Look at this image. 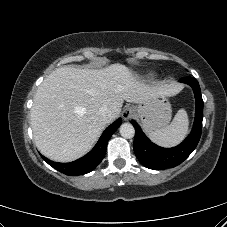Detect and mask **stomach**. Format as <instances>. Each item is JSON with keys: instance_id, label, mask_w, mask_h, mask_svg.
Masks as SVG:
<instances>
[{"instance_id": "obj_1", "label": "stomach", "mask_w": 227, "mask_h": 227, "mask_svg": "<svg viewBox=\"0 0 227 227\" xmlns=\"http://www.w3.org/2000/svg\"><path fill=\"white\" fill-rule=\"evenodd\" d=\"M135 111L147 133L165 127L171 119V105L163 95L138 105Z\"/></svg>"}]
</instances>
